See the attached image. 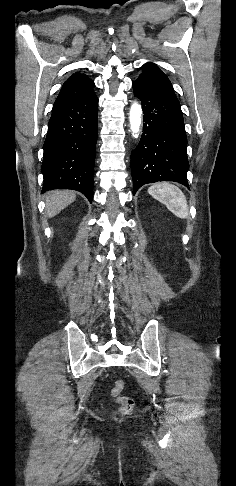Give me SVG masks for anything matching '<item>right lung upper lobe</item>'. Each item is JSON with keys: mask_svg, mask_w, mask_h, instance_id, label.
Wrapping results in <instances>:
<instances>
[{"mask_svg": "<svg viewBox=\"0 0 236 486\" xmlns=\"http://www.w3.org/2000/svg\"><path fill=\"white\" fill-rule=\"evenodd\" d=\"M94 86V82L88 76L77 72L64 82L54 105L87 98L94 93Z\"/></svg>", "mask_w": 236, "mask_h": 486, "instance_id": "obj_1", "label": "right lung upper lobe"}]
</instances>
